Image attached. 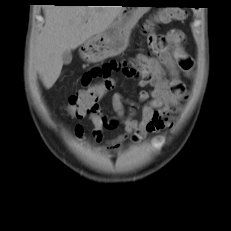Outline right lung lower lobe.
Listing matches in <instances>:
<instances>
[{
    "label": "right lung lower lobe",
    "mask_w": 231,
    "mask_h": 231,
    "mask_svg": "<svg viewBox=\"0 0 231 231\" xmlns=\"http://www.w3.org/2000/svg\"><path fill=\"white\" fill-rule=\"evenodd\" d=\"M42 2H52L57 5H76L75 0H42Z\"/></svg>",
    "instance_id": "right-lung-lower-lobe-1"
}]
</instances>
